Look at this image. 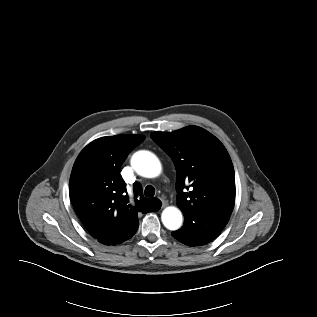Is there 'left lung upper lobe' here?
<instances>
[{
    "label": "left lung upper lobe",
    "mask_w": 317,
    "mask_h": 317,
    "mask_svg": "<svg viewBox=\"0 0 317 317\" xmlns=\"http://www.w3.org/2000/svg\"><path fill=\"white\" fill-rule=\"evenodd\" d=\"M151 138L175 164L177 203L184 216L214 212L230 217L235 203V175L223 144L197 126L154 132Z\"/></svg>",
    "instance_id": "5c2ea615"
}]
</instances>
